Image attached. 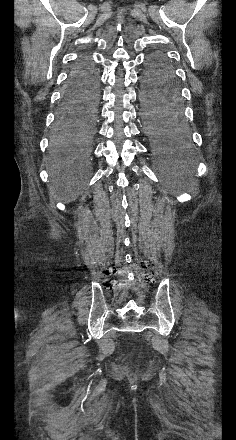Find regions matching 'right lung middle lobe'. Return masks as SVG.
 <instances>
[{
  "label": "right lung middle lobe",
  "instance_id": "right-lung-middle-lobe-1",
  "mask_svg": "<svg viewBox=\"0 0 236 440\" xmlns=\"http://www.w3.org/2000/svg\"><path fill=\"white\" fill-rule=\"evenodd\" d=\"M80 96L84 100L80 122L72 129L56 130L51 139V155L58 163L77 162L89 153L99 99L98 82H88Z\"/></svg>",
  "mask_w": 236,
  "mask_h": 440
}]
</instances>
